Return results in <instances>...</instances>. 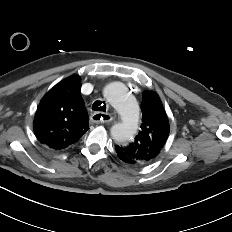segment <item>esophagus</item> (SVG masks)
<instances>
[{
  "label": "esophagus",
  "mask_w": 232,
  "mask_h": 232,
  "mask_svg": "<svg viewBox=\"0 0 232 232\" xmlns=\"http://www.w3.org/2000/svg\"><path fill=\"white\" fill-rule=\"evenodd\" d=\"M112 115L104 112H96L91 116L94 123H108L112 120Z\"/></svg>",
  "instance_id": "1"
}]
</instances>
